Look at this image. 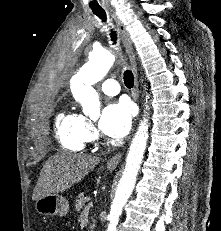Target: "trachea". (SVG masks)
I'll use <instances>...</instances> for the list:
<instances>
[{"instance_id": "trachea-1", "label": "trachea", "mask_w": 221, "mask_h": 231, "mask_svg": "<svg viewBox=\"0 0 221 231\" xmlns=\"http://www.w3.org/2000/svg\"><path fill=\"white\" fill-rule=\"evenodd\" d=\"M93 13L99 17L103 22H107V16L105 11H93ZM111 40L113 41V44H116L117 41V34L115 31L111 30ZM124 83L126 85L127 88H132L134 85V77H133V73L130 70H126L124 72Z\"/></svg>"}]
</instances>
